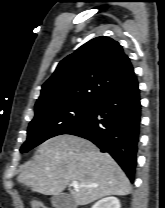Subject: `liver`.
Returning <instances> with one entry per match:
<instances>
[{
	"instance_id": "liver-1",
	"label": "liver",
	"mask_w": 165,
	"mask_h": 208,
	"mask_svg": "<svg viewBox=\"0 0 165 208\" xmlns=\"http://www.w3.org/2000/svg\"><path fill=\"white\" fill-rule=\"evenodd\" d=\"M73 181L85 186L71 190L76 205L131 192L129 179L108 153L84 138L67 134L42 143L18 177V182L32 191L53 196ZM92 185L96 187H88Z\"/></svg>"
}]
</instances>
